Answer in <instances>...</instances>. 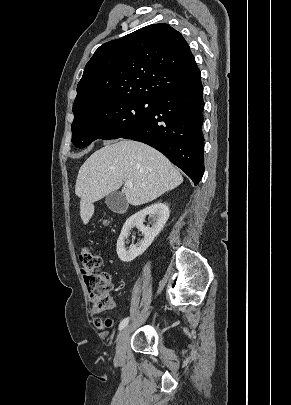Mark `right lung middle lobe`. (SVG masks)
<instances>
[{
	"label": "right lung middle lobe",
	"mask_w": 291,
	"mask_h": 405,
	"mask_svg": "<svg viewBox=\"0 0 291 405\" xmlns=\"http://www.w3.org/2000/svg\"><path fill=\"white\" fill-rule=\"evenodd\" d=\"M153 106V99L137 96L87 105L74 113L72 143L84 148L96 139L121 138L140 126Z\"/></svg>",
	"instance_id": "1"
}]
</instances>
